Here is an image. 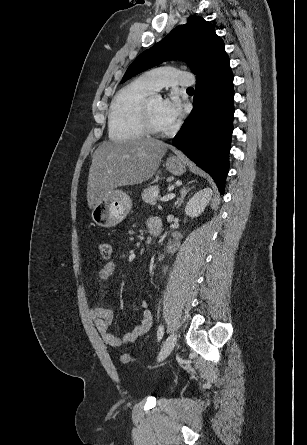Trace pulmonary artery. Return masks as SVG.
Here are the masks:
<instances>
[{
    "instance_id": "obj_1",
    "label": "pulmonary artery",
    "mask_w": 307,
    "mask_h": 445,
    "mask_svg": "<svg viewBox=\"0 0 307 445\" xmlns=\"http://www.w3.org/2000/svg\"><path fill=\"white\" fill-rule=\"evenodd\" d=\"M143 80H147L150 86L157 90L165 84H180L181 89L186 90L192 84L194 78L188 75L186 69L166 67V69H147L142 73Z\"/></svg>"
}]
</instances>
